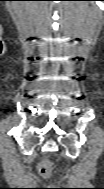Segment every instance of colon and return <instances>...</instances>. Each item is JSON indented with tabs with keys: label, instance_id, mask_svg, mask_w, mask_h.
Wrapping results in <instances>:
<instances>
[{
	"label": "colon",
	"instance_id": "5ec220e1",
	"mask_svg": "<svg viewBox=\"0 0 104 189\" xmlns=\"http://www.w3.org/2000/svg\"><path fill=\"white\" fill-rule=\"evenodd\" d=\"M39 173L44 177H49L52 174V167L49 161H43L39 165Z\"/></svg>",
	"mask_w": 104,
	"mask_h": 189
}]
</instances>
